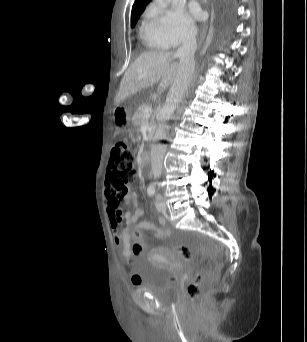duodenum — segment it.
<instances>
[{"label": "duodenum", "instance_id": "1", "mask_svg": "<svg viewBox=\"0 0 307 342\" xmlns=\"http://www.w3.org/2000/svg\"><path fill=\"white\" fill-rule=\"evenodd\" d=\"M150 155L148 151H142L141 152V160L142 164L146 166L149 163Z\"/></svg>", "mask_w": 307, "mask_h": 342}]
</instances>
